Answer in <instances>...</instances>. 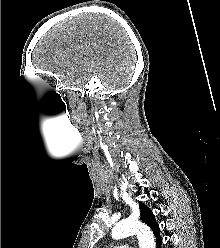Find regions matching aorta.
<instances>
[{"instance_id": "1", "label": "aorta", "mask_w": 220, "mask_h": 248, "mask_svg": "<svg viewBox=\"0 0 220 248\" xmlns=\"http://www.w3.org/2000/svg\"><path fill=\"white\" fill-rule=\"evenodd\" d=\"M132 235H137L140 248L156 247L153 232L148 226L137 220H122L115 225L111 233L112 238L115 240H119Z\"/></svg>"}]
</instances>
